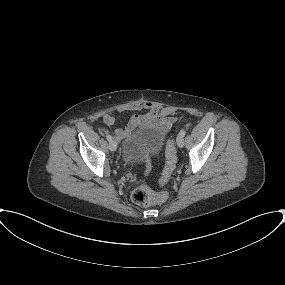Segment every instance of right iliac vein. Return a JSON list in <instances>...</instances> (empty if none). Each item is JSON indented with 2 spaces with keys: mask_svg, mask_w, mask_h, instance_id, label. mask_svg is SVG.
Instances as JSON below:
<instances>
[{
  "mask_svg": "<svg viewBox=\"0 0 285 285\" xmlns=\"http://www.w3.org/2000/svg\"><path fill=\"white\" fill-rule=\"evenodd\" d=\"M109 149L111 151H116V149H117V142L115 140H111L109 142Z\"/></svg>",
  "mask_w": 285,
  "mask_h": 285,
  "instance_id": "63e3f726",
  "label": "right iliac vein"
}]
</instances>
